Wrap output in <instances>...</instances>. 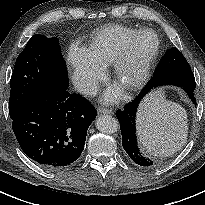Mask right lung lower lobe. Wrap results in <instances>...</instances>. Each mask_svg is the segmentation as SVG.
Returning <instances> with one entry per match:
<instances>
[{
    "label": "right lung lower lobe",
    "mask_w": 205,
    "mask_h": 205,
    "mask_svg": "<svg viewBox=\"0 0 205 205\" xmlns=\"http://www.w3.org/2000/svg\"><path fill=\"white\" fill-rule=\"evenodd\" d=\"M67 88L45 89L12 119L23 152L47 170H63L76 163L96 117L93 106Z\"/></svg>",
    "instance_id": "obj_1"
}]
</instances>
